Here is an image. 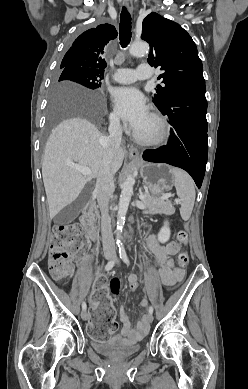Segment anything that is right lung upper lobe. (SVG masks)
Listing matches in <instances>:
<instances>
[{"mask_svg": "<svg viewBox=\"0 0 248 389\" xmlns=\"http://www.w3.org/2000/svg\"><path fill=\"white\" fill-rule=\"evenodd\" d=\"M116 37L117 31L110 24H101L85 31L65 54L61 66L83 68L104 75V49Z\"/></svg>", "mask_w": 248, "mask_h": 389, "instance_id": "right-lung-upper-lobe-1", "label": "right lung upper lobe"}]
</instances>
